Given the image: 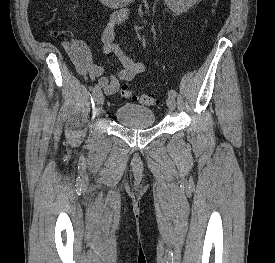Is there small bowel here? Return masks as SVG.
<instances>
[{
	"label": "small bowel",
	"instance_id": "obj_1",
	"mask_svg": "<svg viewBox=\"0 0 275 263\" xmlns=\"http://www.w3.org/2000/svg\"><path fill=\"white\" fill-rule=\"evenodd\" d=\"M130 15L129 10H121L113 14L101 34L104 54L117 61L115 75H104L103 67L93 62L91 49L85 41L71 37L61 42L62 49L74 64L78 74L95 81L97 87L102 88L106 96L116 94L121 82H131L137 75L146 73L150 69L147 63L136 62L129 58L115 39L116 26L128 20Z\"/></svg>",
	"mask_w": 275,
	"mask_h": 263
}]
</instances>
